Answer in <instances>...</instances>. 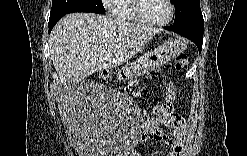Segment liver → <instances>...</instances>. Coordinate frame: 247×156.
<instances>
[{
	"label": "liver",
	"instance_id": "1",
	"mask_svg": "<svg viewBox=\"0 0 247 156\" xmlns=\"http://www.w3.org/2000/svg\"><path fill=\"white\" fill-rule=\"evenodd\" d=\"M159 31L105 15H66L55 25L49 38L59 89L70 79L78 82L129 61Z\"/></svg>",
	"mask_w": 247,
	"mask_h": 156
}]
</instances>
